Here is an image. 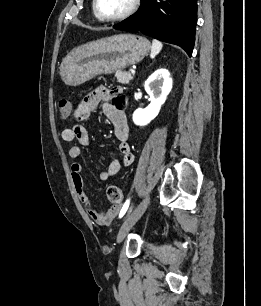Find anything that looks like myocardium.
Masks as SVG:
<instances>
[{
  "label": "myocardium",
  "instance_id": "obj_1",
  "mask_svg": "<svg viewBox=\"0 0 261 306\" xmlns=\"http://www.w3.org/2000/svg\"><path fill=\"white\" fill-rule=\"evenodd\" d=\"M141 4V0H132V3L130 7L122 14L114 17H107L100 13L98 9V0H93V11L95 16L100 20L104 22H118L127 19L131 15H133L137 9L139 8Z\"/></svg>",
  "mask_w": 261,
  "mask_h": 306
}]
</instances>
